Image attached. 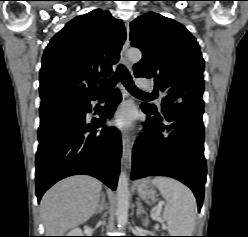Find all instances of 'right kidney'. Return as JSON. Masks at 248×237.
I'll use <instances>...</instances> for the list:
<instances>
[{
	"label": "right kidney",
	"mask_w": 248,
	"mask_h": 237,
	"mask_svg": "<svg viewBox=\"0 0 248 237\" xmlns=\"http://www.w3.org/2000/svg\"><path fill=\"white\" fill-rule=\"evenodd\" d=\"M66 236H83L80 228H75L69 232Z\"/></svg>",
	"instance_id": "ca27d5eb"
}]
</instances>
